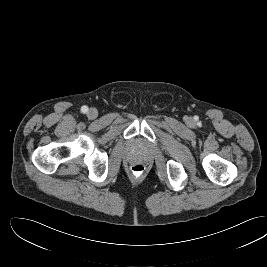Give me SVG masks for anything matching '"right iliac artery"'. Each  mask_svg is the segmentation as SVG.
Returning a JSON list of instances; mask_svg holds the SVG:
<instances>
[{
	"mask_svg": "<svg viewBox=\"0 0 267 267\" xmlns=\"http://www.w3.org/2000/svg\"><path fill=\"white\" fill-rule=\"evenodd\" d=\"M87 111H88V107L87 106L84 105V106L81 107V112L82 113H87Z\"/></svg>",
	"mask_w": 267,
	"mask_h": 267,
	"instance_id": "1",
	"label": "right iliac artery"
}]
</instances>
